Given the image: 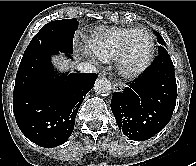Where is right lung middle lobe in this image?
<instances>
[{
    "instance_id": "1",
    "label": "right lung middle lobe",
    "mask_w": 196,
    "mask_h": 166,
    "mask_svg": "<svg viewBox=\"0 0 196 166\" xmlns=\"http://www.w3.org/2000/svg\"><path fill=\"white\" fill-rule=\"evenodd\" d=\"M78 28V21L73 19L56 20L45 24L33 37L24 55L46 49L72 53L73 37ZM23 55V56H24Z\"/></svg>"
}]
</instances>
